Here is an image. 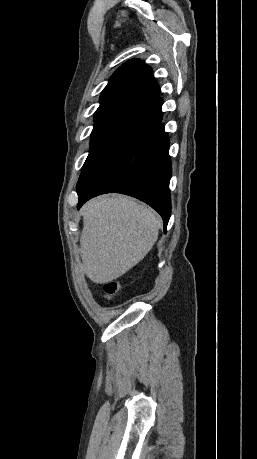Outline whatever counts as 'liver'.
<instances>
[{"label": "liver", "instance_id": "1", "mask_svg": "<svg viewBox=\"0 0 257 459\" xmlns=\"http://www.w3.org/2000/svg\"><path fill=\"white\" fill-rule=\"evenodd\" d=\"M81 214L82 266L96 284L108 283L138 264L157 241L162 225L153 210L121 195L94 198Z\"/></svg>", "mask_w": 257, "mask_h": 459}]
</instances>
